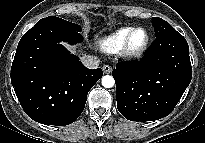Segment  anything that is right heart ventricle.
Listing matches in <instances>:
<instances>
[{
	"instance_id": "1",
	"label": "right heart ventricle",
	"mask_w": 205,
	"mask_h": 143,
	"mask_svg": "<svg viewBox=\"0 0 205 143\" xmlns=\"http://www.w3.org/2000/svg\"><path fill=\"white\" fill-rule=\"evenodd\" d=\"M132 29L133 27H122L109 36L102 38L99 41L100 49L108 54L119 52L124 45L127 35Z\"/></svg>"
}]
</instances>
